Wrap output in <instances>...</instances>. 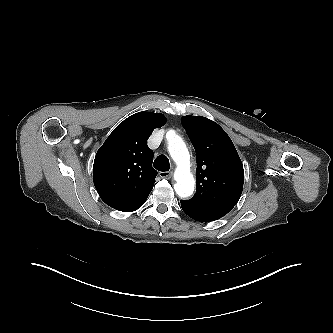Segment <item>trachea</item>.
<instances>
[{
    "mask_svg": "<svg viewBox=\"0 0 333 333\" xmlns=\"http://www.w3.org/2000/svg\"><path fill=\"white\" fill-rule=\"evenodd\" d=\"M154 168L161 172L169 171L170 163L169 159L165 155H159L153 164Z\"/></svg>",
    "mask_w": 333,
    "mask_h": 333,
    "instance_id": "3493384b",
    "label": "trachea"
}]
</instances>
